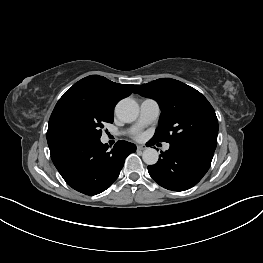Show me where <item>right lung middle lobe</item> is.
<instances>
[{
  "label": "right lung middle lobe",
  "mask_w": 263,
  "mask_h": 263,
  "mask_svg": "<svg viewBox=\"0 0 263 263\" xmlns=\"http://www.w3.org/2000/svg\"><path fill=\"white\" fill-rule=\"evenodd\" d=\"M113 122V114L74 98L54 108L47 131L48 145L62 142L99 140L105 123Z\"/></svg>",
  "instance_id": "dd1d6c3e"
}]
</instances>
